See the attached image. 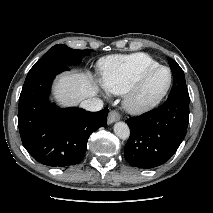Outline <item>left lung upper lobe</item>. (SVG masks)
<instances>
[{"mask_svg":"<svg viewBox=\"0 0 213 213\" xmlns=\"http://www.w3.org/2000/svg\"><path fill=\"white\" fill-rule=\"evenodd\" d=\"M168 61L173 73V86L168 97H180L189 100L183 70L173 59L169 58Z\"/></svg>","mask_w":213,"mask_h":213,"instance_id":"obj_1","label":"left lung upper lobe"}]
</instances>
